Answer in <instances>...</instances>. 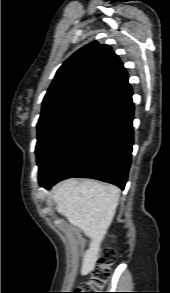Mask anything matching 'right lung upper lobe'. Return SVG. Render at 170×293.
<instances>
[{"mask_svg":"<svg viewBox=\"0 0 170 293\" xmlns=\"http://www.w3.org/2000/svg\"><path fill=\"white\" fill-rule=\"evenodd\" d=\"M132 95L128 75L111 47L91 42L58 69L42 103L39 122L76 105L110 108Z\"/></svg>","mask_w":170,"mask_h":293,"instance_id":"right-lung-upper-lobe-1","label":"right lung upper lobe"}]
</instances>
